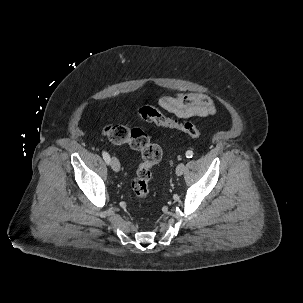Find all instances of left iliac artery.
<instances>
[{
    "mask_svg": "<svg viewBox=\"0 0 303 303\" xmlns=\"http://www.w3.org/2000/svg\"><path fill=\"white\" fill-rule=\"evenodd\" d=\"M186 157H187V158H192V157H193V152H192L191 150H188V151L186 152Z\"/></svg>",
    "mask_w": 303,
    "mask_h": 303,
    "instance_id": "44dca946",
    "label": "left iliac artery"
}]
</instances>
